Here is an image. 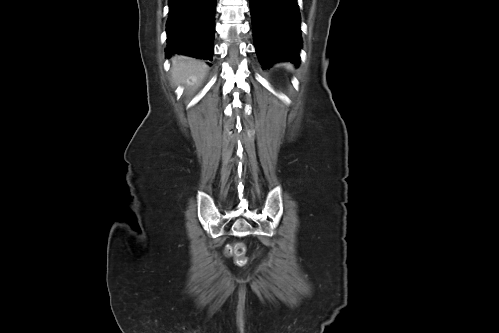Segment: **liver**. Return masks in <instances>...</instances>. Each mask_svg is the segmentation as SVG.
Segmentation results:
<instances>
[{
	"instance_id": "1",
	"label": "liver",
	"mask_w": 499,
	"mask_h": 333,
	"mask_svg": "<svg viewBox=\"0 0 499 333\" xmlns=\"http://www.w3.org/2000/svg\"><path fill=\"white\" fill-rule=\"evenodd\" d=\"M207 68V65L202 61L177 55L172 59V78L177 84L198 87L206 76Z\"/></svg>"
}]
</instances>
